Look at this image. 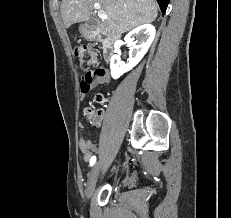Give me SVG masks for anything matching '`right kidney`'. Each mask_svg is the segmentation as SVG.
I'll list each match as a JSON object with an SVG mask.
<instances>
[{
	"instance_id": "1",
	"label": "right kidney",
	"mask_w": 231,
	"mask_h": 218,
	"mask_svg": "<svg viewBox=\"0 0 231 218\" xmlns=\"http://www.w3.org/2000/svg\"><path fill=\"white\" fill-rule=\"evenodd\" d=\"M155 27L151 24H143L129 32L124 41L129 47V62L125 64L119 55H113L110 61L111 76L119 78L123 73L136 66L148 51L155 37ZM139 36V43L134 42V37Z\"/></svg>"
}]
</instances>
